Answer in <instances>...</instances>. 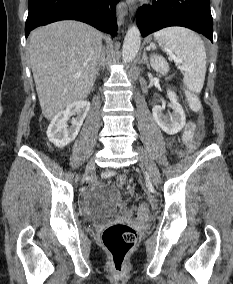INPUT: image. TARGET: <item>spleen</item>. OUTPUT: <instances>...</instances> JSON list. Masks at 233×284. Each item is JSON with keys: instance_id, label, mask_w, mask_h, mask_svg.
<instances>
[{"instance_id": "spleen-1", "label": "spleen", "mask_w": 233, "mask_h": 284, "mask_svg": "<svg viewBox=\"0 0 233 284\" xmlns=\"http://www.w3.org/2000/svg\"><path fill=\"white\" fill-rule=\"evenodd\" d=\"M154 37L182 64L187 89L200 93L206 74V51L202 39L184 27H168L154 33Z\"/></svg>"}]
</instances>
